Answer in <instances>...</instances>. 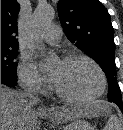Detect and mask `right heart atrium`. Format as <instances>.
Listing matches in <instances>:
<instances>
[{
    "label": "right heart atrium",
    "mask_w": 123,
    "mask_h": 130,
    "mask_svg": "<svg viewBox=\"0 0 123 130\" xmlns=\"http://www.w3.org/2000/svg\"><path fill=\"white\" fill-rule=\"evenodd\" d=\"M18 80L24 90L33 94H42L48 87L47 79L27 56H24L19 64Z\"/></svg>",
    "instance_id": "right-heart-atrium-1"
}]
</instances>
